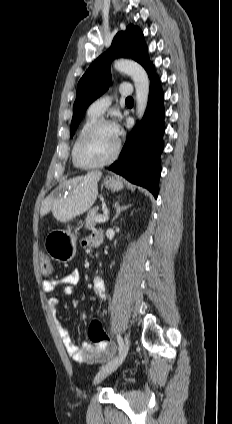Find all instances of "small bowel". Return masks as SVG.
Here are the masks:
<instances>
[{"mask_svg": "<svg viewBox=\"0 0 232 424\" xmlns=\"http://www.w3.org/2000/svg\"><path fill=\"white\" fill-rule=\"evenodd\" d=\"M100 232H96L93 235L87 236L81 240L83 247L95 246L97 237ZM80 279V273L78 270H73L68 274L55 279L46 280L43 282V290L46 293H52L61 287V291L66 295H73L75 293V287L77 286ZM93 292L105 299V285L103 280L96 276L92 281ZM50 311L53 315L57 314L59 302L55 297H50L48 300ZM58 332L65 346L67 353L76 361L82 363H97L106 362L110 359L114 352V346L112 343L103 344H90L89 342H83L80 346L75 344L69 334V332L62 326H58Z\"/></svg>", "mask_w": 232, "mask_h": 424, "instance_id": "small-bowel-1", "label": "small bowel"}]
</instances>
